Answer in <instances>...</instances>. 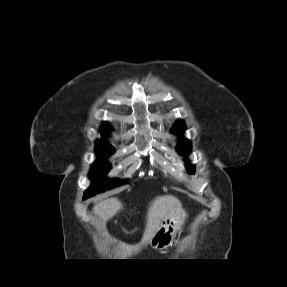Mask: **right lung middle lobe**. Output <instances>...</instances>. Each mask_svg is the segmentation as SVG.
<instances>
[{"label":"right lung middle lobe","mask_w":287,"mask_h":287,"mask_svg":"<svg viewBox=\"0 0 287 287\" xmlns=\"http://www.w3.org/2000/svg\"><path fill=\"white\" fill-rule=\"evenodd\" d=\"M96 152L99 157H106L114 152V148L110 144H97ZM109 169L110 165L101 159L93 163L89 173L92 185L86 190L84 198L123 184L122 181L116 182L114 179L105 178Z\"/></svg>","instance_id":"1"}]
</instances>
